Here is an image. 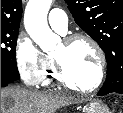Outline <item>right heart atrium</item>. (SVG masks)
<instances>
[{
	"label": "right heart atrium",
	"mask_w": 123,
	"mask_h": 113,
	"mask_svg": "<svg viewBox=\"0 0 123 113\" xmlns=\"http://www.w3.org/2000/svg\"><path fill=\"white\" fill-rule=\"evenodd\" d=\"M14 60L20 79L25 85L36 87L41 84L46 57L25 32H20L16 37Z\"/></svg>",
	"instance_id": "1"
}]
</instances>
